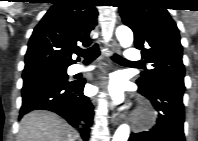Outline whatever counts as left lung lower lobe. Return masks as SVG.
<instances>
[{
    "label": "left lung lower lobe",
    "mask_w": 198,
    "mask_h": 141,
    "mask_svg": "<svg viewBox=\"0 0 198 141\" xmlns=\"http://www.w3.org/2000/svg\"><path fill=\"white\" fill-rule=\"evenodd\" d=\"M139 91L151 100L158 112V118L152 130L133 133L129 141H184L185 86L181 83L161 81L149 91Z\"/></svg>",
    "instance_id": "0a47b994"
}]
</instances>
